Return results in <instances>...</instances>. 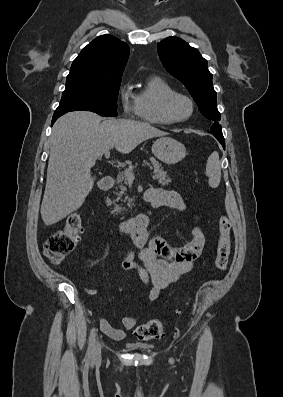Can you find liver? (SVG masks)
<instances>
[{"mask_svg":"<svg viewBox=\"0 0 283 397\" xmlns=\"http://www.w3.org/2000/svg\"><path fill=\"white\" fill-rule=\"evenodd\" d=\"M146 122L103 120L89 111H74L53 126L47 181L41 205L46 226L53 225L82 206L94 180L91 168L112 147L128 154L140 143L166 135Z\"/></svg>","mask_w":283,"mask_h":397,"instance_id":"obj_1","label":"liver"}]
</instances>
